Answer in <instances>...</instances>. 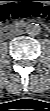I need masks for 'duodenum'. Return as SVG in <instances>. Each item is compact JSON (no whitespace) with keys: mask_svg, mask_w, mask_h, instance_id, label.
<instances>
[{"mask_svg":"<svg viewBox=\"0 0 50 111\" xmlns=\"http://www.w3.org/2000/svg\"><path fill=\"white\" fill-rule=\"evenodd\" d=\"M19 27H21L20 24L3 28V30L1 31V37L7 38L13 33L14 29L19 28Z\"/></svg>","mask_w":50,"mask_h":111,"instance_id":"obj_1","label":"duodenum"}]
</instances>
